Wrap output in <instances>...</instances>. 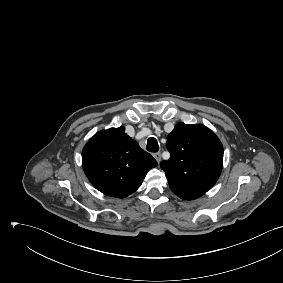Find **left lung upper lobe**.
<instances>
[{
	"label": "left lung upper lobe",
	"instance_id": "1",
	"mask_svg": "<svg viewBox=\"0 0 283 283\" xmlns=\"http://www.w3.org/2000/svg\"><path fill=\"white\" fill-rule=\"evenodd\" d=\"M170 158L160 163L173 193L194 200L209 191L222 171L223 146L204 125L178 123L167 137Z\"/></svg>",
	"mask_w": 283,
	"mask_h": 283
}]
</instances>
